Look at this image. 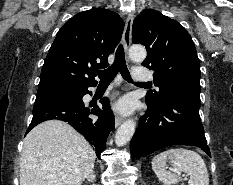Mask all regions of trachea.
Instances as JSON below:
<instances>
[{
  "mask_svg": "<svg viewBox=\"0 0 233 185\" xmlns=\"http://www.w3.org/2000/svg\"><path fill=\"white\" fill-rule=\"evenodd\" d=\"M119 72L126 81L130 83L133 82L126 65L124 49L122 45H119V47L117 48V51L115 53V60L113 64L109 68L105 70H99L97 72L98 77L100 78L99 83L109 84ZM135 84H145V83L136 82Z\"/></svg>",
  "mask_w": 233,
  "mask_h": 185,
  "instance_id": "3493384b",
  "label": "trachea"
}]
</instances>
